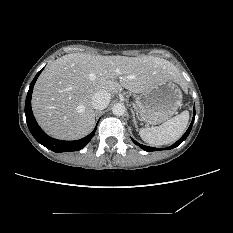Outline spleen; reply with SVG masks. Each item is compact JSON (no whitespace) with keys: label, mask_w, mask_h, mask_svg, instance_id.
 I'll return each instance as SVG.
<instances>
[{"label":"spleen","mask_w":233,"mask_h":233,"mask_svg":"<svg viewBox=\"0 0 233 233\" xmlns=\"http://www.w3.org/2000/svg\"><path fill=\"white\" fill-rule=\"evenodd\" d=\"M188 121L189 112L183 111L160 126L140 129L139 134L142 140L150 145H167L175 142L182 136Z\"/></svg>","instance_id":"3e777b00"}]
</instances>
